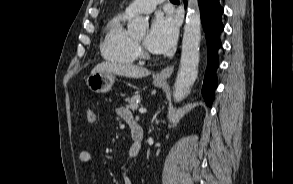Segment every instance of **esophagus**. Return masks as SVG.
I'll use <instances>...</instances> for the list:
<instances>
[{
  "instance_id": "esophagus-1",
  "label": "esophagus",
  "mask_w": 293,
  "mask_h": 184,
  "mask_svg": "<svg viewBox=\"0 0 293 184\" xmlns=\"http://www.w3.org/2000/svg\"><path fill=\"white\" fill-rule=\"evenodd\" d=\"M173 70H174L173 65L167 66L157 73L156 78L159 80H166L172 75Z\"/></svg>"
}]
</instances>
